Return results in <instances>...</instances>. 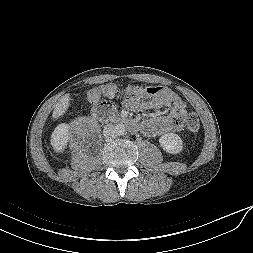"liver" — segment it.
I'll return each mask as SVG.
<instances>
[{
    "label": "liver",
    "instance_id": "liver-1",
    "mask_svg": "<svg viewBox=\"0 0 253 253\" xmlns=\"http://www.w3.org/2000/svg\"><path fill=\"white\" fill-rule=\"evenodd\" d=\"M69 101H70L69 94H65L59 99V101L56 103L55 108L53 110V114H52L53 119H58L60 116H62L65 113V111L69 107Z\"/></svg>",
    "mask_w": 253,
    "mask_h": 253
}]
</instances>
